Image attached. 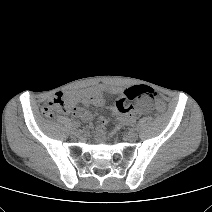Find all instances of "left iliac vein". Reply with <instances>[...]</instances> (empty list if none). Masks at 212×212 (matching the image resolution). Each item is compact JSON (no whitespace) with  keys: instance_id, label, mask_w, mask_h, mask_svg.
Masks as SVG:
<instances>
[{"instance_id":"4c4485c4","label":"left iliac vein","mask_w":212,"mask_h":212,"mask_svg":"<svg viewBox=\"0 0 212 212\" xmlns=\"http://www.w3.org/2000/svg\"><path fill=\"white\" fill-rule=\"evenodd\" d=\"M126 140L128 141H135L138 138V134L133 131L130 130L126 135H125Z\"/></svg>"}]
</instances>
